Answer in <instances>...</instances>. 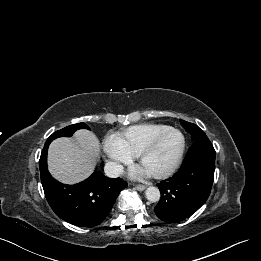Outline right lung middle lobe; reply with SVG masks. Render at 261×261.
Wrapping results in <instances>:
<instances>
[{"label":"right lung middle lobe","instance_id":"right-lung-middle-lobe-1","mask_svg":"<svg viewBox=\"0 0 261 261\" xmlns=\"http://www.w3.org/2000/svg\"><path fill=\"white\" fill-rule=\"evenodd\" d=\"M82 128H85V129H89V127L84 124V123H78V124H74V125H70V126H67L61 130H58L56 132H54L48 139L47 141L51 142L53 141L54 139L58 138V137H62V136H65V137H69L71 136L76 130L78 129H82Z\"/></svg>","mask_w":261,"mask_h":261}]
</instances>
